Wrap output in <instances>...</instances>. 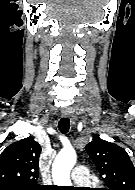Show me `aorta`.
I'll use <instances>...</instances> for the list:
<instances>
[{
    "label": "aorta",
    "mask_w": 135,
    "mask_h": 190,
    "mask_svg": "<svg viewBox=\"0 0 135 190\" xmlns=\"http://www.w3.org/2000/svg\"><path fill=\"white\" fill-rule=\"evenodd\" d=\"M73 149H63L56 156L52 165L53 181L58 186H71L70 171L76 163Z\"/></svg>",
    "instance_id": "1"
}]
</instances>
